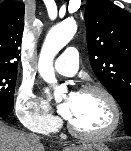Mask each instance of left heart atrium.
<instances>
[{
	"label": "left heart atrium",
	"instance_id": "39dd6f15",
	"mask_svg": "<svg viewBox=\"0 0 131 151\" xmlns=\"http://www.w3.org/2000/svg\"><path fill=\"white\" fill-rule=\"evenodd\" d=\"M75 96L76 93H71L69 99L59 106V112L66 119H70L72 116V108Z\"/></svg>",
	"mask_w": 131,
	"mask_h": 151
}]
</instances>
